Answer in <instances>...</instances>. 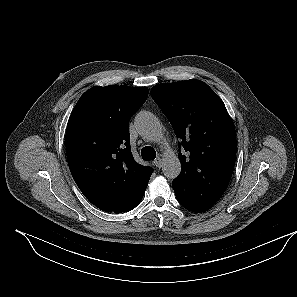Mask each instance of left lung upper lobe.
<instances>
[{"label":"left lung upper lobe","instance_id":"left-lung-upper-lobe-1","mask_svg":"<svg viewBox=\"0 0 297 297\" xmlns=\"http://www.w3.org/2000/svg\"><path fill=\"white\" fill-rule=\"evenodd\" d=\"M150 94L181 139L182 169L173 181L179 203L191 211L210 209L225 192L236 158L234 123L224 103L196 79L161 83Z\"/></svg>","mask_w":297,"mask_h":297}]
</instances>
